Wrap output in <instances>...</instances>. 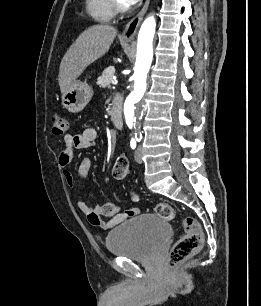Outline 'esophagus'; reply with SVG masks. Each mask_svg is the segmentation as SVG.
I'll use <instances>...</instances> for the list:
<instances>
[{
    "mask_svg": "<svg viewBox=\"0 0 261 306\" xmlns=\"http://www.w3.org/2000/svg\"><path fill=\"white\" fill-rule=\"evenodd\" d=\"M149 2L150 0H146L140 12L127 23L124 31L121 34V38L123 40L131 41L134 39L138 27L148 9Z\"/></svg>",
    "mask_w": 261,
    "mask_h": 306,
    "instance_id": "34e87169",
    "label": "esophagus"
}]
</instances>
